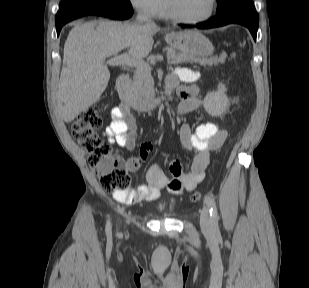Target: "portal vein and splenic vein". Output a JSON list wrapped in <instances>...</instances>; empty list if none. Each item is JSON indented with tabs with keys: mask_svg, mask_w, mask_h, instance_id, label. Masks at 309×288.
I'll return each mask as SVG.
<instances>
[{
	"mask_svg": "<svg viewBox=\"0 0 309 288\" xmlns=\"http://www.w3.org/2000/svg\"><path fill=\"white\" fill-rule=\"evenodd\" d=\"M106 63L111 66L128 65L134 66L137 69L151 70V67L147 62L139 58L130 57L128 54L114 56L108 59Z\"/></svg>",
	"mask_w": 309,
	"mask_h": 288,
	"instance_id": "portal-vein-and-splenic-vein-1",
	"label": "portal vein and splenic vein"
}]
</instances>
